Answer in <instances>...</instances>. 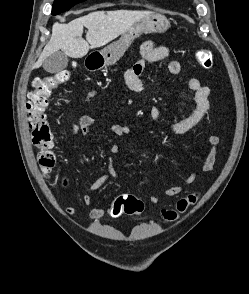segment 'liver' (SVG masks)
<instances>
[{
  "label": "liver",
  "instance_id": "6515ba94",
  "mask_svg": "<svg viewBox=\"0 0 249 294\" xmlns=\"http://www.w3.org/2000/svg\"><path fill=\"white\" fill-rule=\"evenodd\" d=\"M149 11H94L68 24L54 23L50 41L43 49L34 68H39L51 54L61 50L72 58L84 57L90 49L102 47L128 31ZM88 29L86 40L83 29Z\"/></svg>",
  "mask_w": 249,
  "mask_h": 294
}]
</instances>
